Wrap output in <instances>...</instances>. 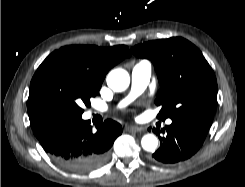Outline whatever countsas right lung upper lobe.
<instances>
[{
	"label": "right lung upper lobe",
	"instance_id": "1",
	"mask_svg": "<svg viewBox=\"0 0 245 187\" xmlns=\"http://www.w3.org/2000/svg\"><path fill=\"white\" fill-rule=\"evenodd\" d=\"M51 55L70 61L86 72L94 83L102 85L109 69L124 58L130 57L131 53L125 45L108 48L72 45L62 47Z\"/></svg>",
	"mask_w": 245,
	"mask_h": 187
}]
</instances>
